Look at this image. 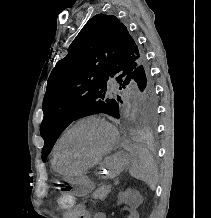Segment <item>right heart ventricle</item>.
Segmentation results:
<instances>
[{
	"instance_id": "1",
	"label": "right heart ventricle",
	"mask_w": 211,
	"mask_h": 218,
	"mask_svg": "<svg viewBox=\"0 0 211 218\" xmlns=\"http://www.w3.org/2000/svg\"><path fill=\"white\" fill-rule=\"evenodd\" d=\"M51 165H58V160H51Z\"/></svg>"
}]
</instances>
